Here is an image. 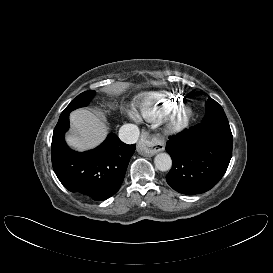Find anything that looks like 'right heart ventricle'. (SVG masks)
Listing matches in <instances>:
<instances>
[{"label":"right heart ventricle","instance_id":"obj_1","mask_svg":"<svg viewBox=\"0 0 273 273\" xmlns=\"http://www.w3.org/2000/svg\"><path fill=\"white\" fill-rule=\"evenodd\" d=\"M180 103V98L166 91L142 95L135 106L138 114L146 121H157L172 112Z\"/></svg>","mask_w":273,"mask_h":273}]
</instances>
